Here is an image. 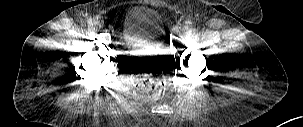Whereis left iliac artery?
<instances>
[{
	"mask_svg": "<svg viewBox=\"0 0 303 127\" xmlns=\"http://www.w3.org/2000/svg\"><path fill=\"white\" fill-rule=\"evenodd\" d=\"M189 33H190V34H195V33H196V29H195V28H191V29L189 30Z\"/></svg>",
	"mask_w": 303,
	"mask_h": 127,
	"instance_id": "left-iliac-artery-1",
	"label": "left iliac artery"
}]
</instances>
